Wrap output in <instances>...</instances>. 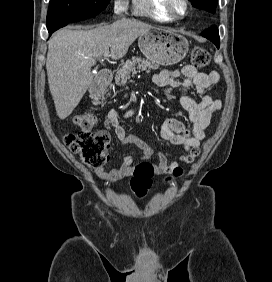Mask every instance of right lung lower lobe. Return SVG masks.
Returning <instances> with one entry per match:
<instances>
[{
    "mask_svg": "<svg viewBox=\"0 0 272 282\" xmlns=\"http://www.w3.org/2000/svg\"><path fill=\"white\" fill-rule=\"evenodd\" d=\"M97 14L98 12H85V13H79L73 16L63 17V18L53 20L47 23V29L49 32V36H51V34L54 31L58 30L59 28L66 26L68 23L81 21V20L93 17Z\"/></svg>",
    "mask_w": 272,
    "mask_h": 282,
    "instance_id": "98d812e1",
    "label": "right lung lower lobe"
}]
</instances>
